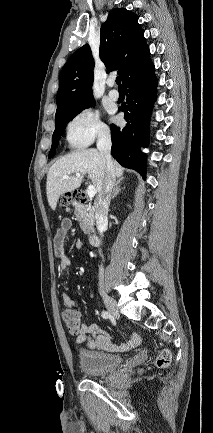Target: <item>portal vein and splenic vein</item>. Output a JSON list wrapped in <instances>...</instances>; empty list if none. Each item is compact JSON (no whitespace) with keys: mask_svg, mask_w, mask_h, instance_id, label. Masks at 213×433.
Segmentation results:
<instances>
[{"mask_svg":"<svg viewBox=\"0 0 213 433\" xmlns=\"http://www.w3.org/2000/svg\"><path fill=\"white\" fill-rule=\"evenodd\" d=\"M76 174L79 175V173H76ZM63 178L64 179H68L69 176L68 175H64ZM87 194H88L89 197H94L95 196L96 189H95V187L93 185H89L88 186V188H87Z\"/></svg>","mask_w":213,"mask_h":433,"instance_id":"1","label":"portal vein and splenic vein"}]
</instances>
